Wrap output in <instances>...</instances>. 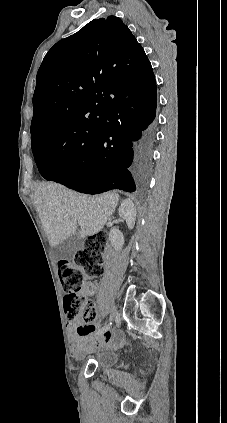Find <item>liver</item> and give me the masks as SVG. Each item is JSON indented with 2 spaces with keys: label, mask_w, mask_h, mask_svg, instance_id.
Instances as JSON below:
<instances>
[{
  "label": "liver",
  "mask_w": 227,
  "mask_h": 423,
  "mask_svg": "<svg viewBox=\"0 0 227 423\" xmlns=\"http://www.w3.org/2000/svg\"><path fill=\"white\" fill-rule=\"evenodd\" d=\"M118 202L119 194L113 192L86 196L53 182L39 184L34 194L35 210L52 247L72 235L85 239L101 231Z\"/></svg>",
  "instance_id": "1"
}]
</instances>
